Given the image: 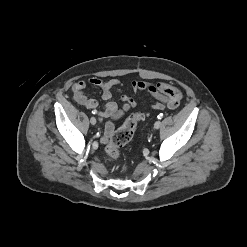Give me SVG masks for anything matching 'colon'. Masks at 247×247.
<instances>
[{
  "label": "colon",
  "instance_id": "5ec220e1",
  "mask_svg": "<svg viewBox=\"0 0 247 247\" xmlns=\"http://www.w3.org/2000/svg\"><path fill=\"white\" fill-rule=\"evenodd\" d=\"M143 119V113H136L126 119V121L114 132L106 146V155L112 160L120 156L121 147L125 146L133 138L136 125Z\"/></svg>",
  "mask_w": 247,
  "mask_h": 247
}]
</instances>
